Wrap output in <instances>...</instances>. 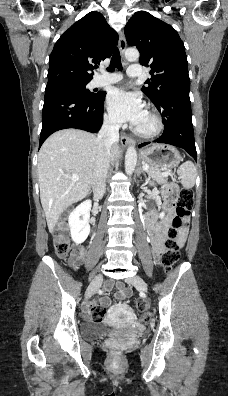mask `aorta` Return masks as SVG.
Returning <instances> with one entry per match:
<instances>
[{
  "instance_id": "1",
  "label": "aorta",
  "mask_w": 228,
  "mask_h": 396,
  "mask_svg": "<svg viewBox=\"0 0 228 396\" xmlns=\"http://www.w3.org/2000/svg\"><path fill=\"white\" fill-rule=\"evenodd\" d=\"M139 51L137 49H127L125 51V58L130 61V62H135L139 59ZM136 162H137V153L136 149L134 146H130L127 149L126 155H125V172L127 175H131L136 167Z\"/></svg>"
}]
</instances>
